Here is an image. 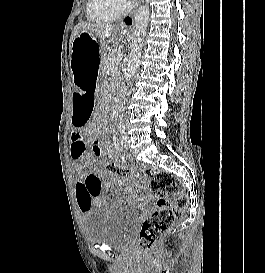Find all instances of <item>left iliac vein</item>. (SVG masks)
<instances>
[{"label": "left iliac vein", "instance_id": "obj_1", "mask_svg": "<svg viewBox=\"0 0 265 273\" xmlns=\"http://www.w3.org/2000/svg\"><path fill=\"white\" fill-rule=\"evenodd\" d=\"M121 144L123 148L129 149L130 148V138L129 135L124 133L121 137Z\"/></svg>", "mask_w": 265, "mask_h": 273}]
</instances>
